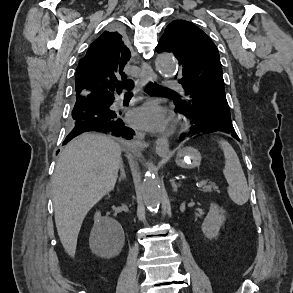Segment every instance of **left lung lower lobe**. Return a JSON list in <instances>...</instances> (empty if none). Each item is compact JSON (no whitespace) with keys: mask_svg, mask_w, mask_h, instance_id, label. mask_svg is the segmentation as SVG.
<instances>
[{"mask_svg":"<svg viewBox=\"0 0 293 293\" xmlns=\"http://www.w3.org/2000/svg\"><path fill=\"white\" fill-rule=\"evenodd\" d=\"M175 110L193 119L194 126L192 127V134H203V133H208L212 131H223V132L231 134L232 137L239 140L233 128L232 122L230 121L213 120L210 122H204L203 120L196 118L195 115H193L191 112L186 111L185 109H183L182 107L178 105H176Z\"/></svg>","mask_w":293,"mask_h":293,"instance_id":"left-lung-lower-lobe-1","label":"left lung lower lobe"}]
</instances>
